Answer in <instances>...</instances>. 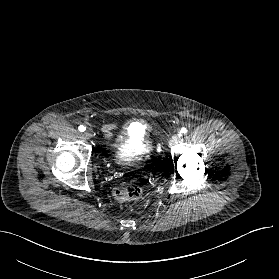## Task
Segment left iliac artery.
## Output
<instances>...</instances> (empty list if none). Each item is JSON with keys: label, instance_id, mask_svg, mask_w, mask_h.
<instances>
[{"label": "left iliac artery", "instance_id": "left-iliac-artery-1", "mask_svg": "<svg viewBox=\"0 0 279 279\" xmlns=\"http://www.w3.org/2000/svg\"><path fill=\"white\" fill-rule=\"evenodd\" d=\"M181 133H182V134H186V133H187V129L183 127V128L181 129Z\"/></svg>", "mask_w": 279, "mask_h": 279}]
</instances>
